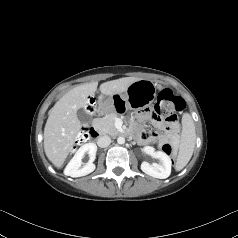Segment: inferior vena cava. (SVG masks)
I'll use <instances>...</instances> for the list:
<instances>
[{
	"label": "inferior vena cava",
	"instance_id": "602c4592",
	"mask_svg": "<svg viewBox=\"0 0 238 238\" xmlns=\"http://www.w3.org/2000/svg\"><path fill=\"white\" fill-rule=\"evenodd\" d=\"M111 143V138L107 135L101 136L97 140V145L101 148L108 147Z\"/></svg>",
	"mask_w": 238,
	"mask_h": 238
}]
</instances>
